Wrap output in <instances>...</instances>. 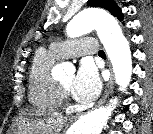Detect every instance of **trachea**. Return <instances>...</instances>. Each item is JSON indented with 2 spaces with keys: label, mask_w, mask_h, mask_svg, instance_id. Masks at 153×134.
Returning a JSON list of instances; mask_svg holds the SVG:
<instances>
[{
  "label": "trachea",
  "mask_w": 153,
  "mask_h": 134,
  "mask_svg": "<svg viewBox=\"0 0 153 134\" xmlns=\"http://www.w3.org/2000/svg\"><path fill=\"white\" fill-rule=\"evenodd\" d=\"M98 55H99V56H105V52H104L103 50H100V51L98 52Z\"/></svg>",
  "instance_id": "obj_1"
}]
</instances>
